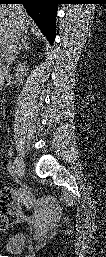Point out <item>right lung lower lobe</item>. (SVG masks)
I'll return each instance as SVG.
<instances>
[{"mask_svg":"<svg viewBox=\"0 0 106 257\" xmlns=\"http://www.w3.org/2000/svg\"><path fill=\"white\" fill-rule=\"evenodd\" d=\"M1 4H23L28 14L52 44L55 39L56 0H0Z\"/></svg>","mask_w":106,"mask_h":257,"instance_id":"obj_1","label":"right lung lower lobe"}]
</instances>
